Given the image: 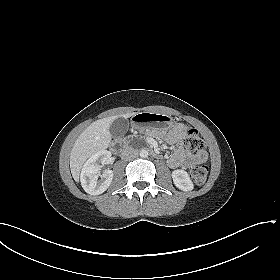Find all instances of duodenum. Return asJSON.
Wrapping results in <instances>:
<instances>
[{
    "mask_svg": "<svg viewBox=\"0 0 280 280\" xmlns=\"http://www.w3.org/2000/svg\"><path fill=\"white\" fill-rule=\"evenodd\" d=\"M125 148H126L125 144L121 141L114 143L112 146L113 151H121V150H124ZM153 156L156 158H160V154H158V153H153Z\"/></svg>",
    "mask_w": 280,
    "mask_h": 280,
    "instance_id": "1",
    "label": "duodenum"
}]
</instances>
